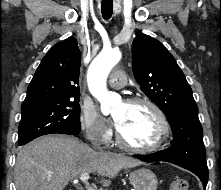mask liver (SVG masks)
<instances>
[{
    "label": "liver",
    "instance_id": "6515ba94",
    "mask_svg": "<svg viewBox=\"0 0 221 190\" xmlns=\"http://www.w3.org/2000/svg\"><path fill=\"white\" fill-rule=\"evenodd\" d=\"M132 157L95 151L75 138L62 135L40 137L20 148L15 164L17 190H63L82 173L97 172L110 184L124 168L140 165Z\"/></svg>",
    "mask_w": 221,
    "mask_h": 190
}]
</instances>
